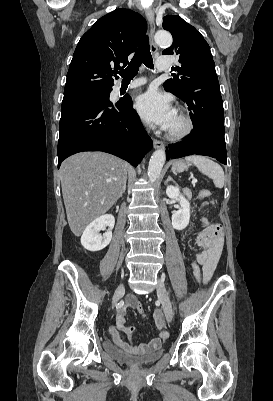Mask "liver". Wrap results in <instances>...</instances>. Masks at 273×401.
<instances>
[{"label":"liver","instance_id":"liver-1","mask_svg":"<svg viewBox=\"0 0 273 401\" xmlns=\"http://www.w3.org/2000/svg\"><path fill=\"white\" fill-rule=\"evenodd\" d=\"M128 162L106 152H78L61 164L60 180L69 227L80 237L111 209L124 190Z\"/></svg>","mask_w":273,"mask_h":401}]
</instances>
